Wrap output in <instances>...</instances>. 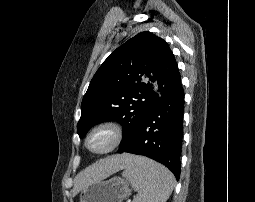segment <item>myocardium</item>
<instances>
[{
  "instance_id": "1",
  "label": "myocardium",
  "mask_w": 255,
  "mask_h": 202,
  "mask_svg": "<svg viewBox=\"0 0 255 202\" xmlns=\"http://www.w3.org/2000/svg\"><path fill=\"white\" fill-rule=\"evenodd\" d=\"M101 131H106L111 135V143L103 150H94L90 147V139L94 134ZM123 137L124 130L120 123L111 120L104 121L91 128L86 136L85 146L90 152L98 155H103L115 150L121 144Z\"/></svg>"
}]
</instances>
